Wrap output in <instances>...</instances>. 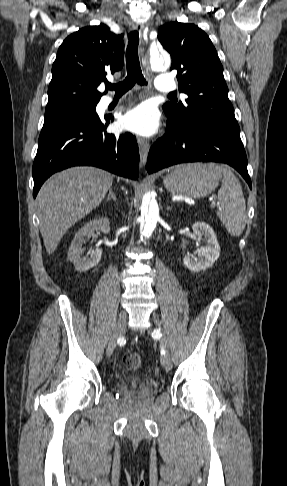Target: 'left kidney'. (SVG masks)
Wrapping results in <instances>:
<instances>
[{
	"label": "left kidney",
	"instance_id": "1",
	"mask_svg": "<svg viewBox=\"0 0 287 486\" xmlns=\"http://www.w3.org/2000/svg\"><path fill=\"white\" fill-rule=\"evenodd\" d=\"M192 229L195 235L204 236L206 246L196 251L195 254H197L198 258L193 254L187 253L183 259V263L189 270L199 272L206 270L214 264L219 257L220 246L216 234L207 223L195 222L192 225Z\"/></svg>",
	"mask_w": 287,
	"mask_h": 486
}]
</instances>
